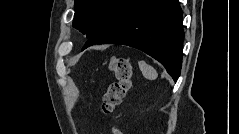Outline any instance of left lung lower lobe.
I'll use <instances>...</instances> for the list:
<instances>
[{
  "mask_svg": "<svg viewBox=\"0 0 239 134\" xmlns=\"http://www.w3.org/2000/svg\"><path fill=\"white\" fill-rule=\"evenodd\" d=\"M182 14L178 0H123L82 50L94 44L128 45L158 60L177 81L182 66Z\"/></svg>",
  "mask_w": 239,
  "mask_h": 134,
  "instance_id": "obj_1",
  "label": "left lung lower lobe"
}]
</instances>
